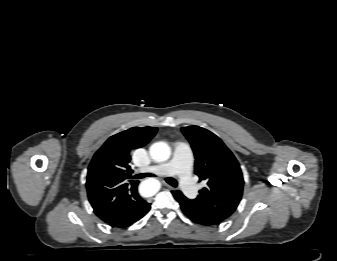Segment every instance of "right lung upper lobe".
Wrapping results in <instances>:
<instances>
[{"label":"right lung upper lobe","mask_w":337,"mask_h":261,"mask_svg":"<svg viewBox=\"0 0 337 261\" xmlns=\"http://www.w3.org/2000/svg\"><path fill=\"white\" fill-rule=\"evenodd\" d=\"M156 127H133L111 136L95 153L88 168L87 193L96 215L109 222L123 215L142 200L138 181L128 180L132 150L145 146L156 134Z\"/></svg>","instance_id":"1"}]
</instances>
